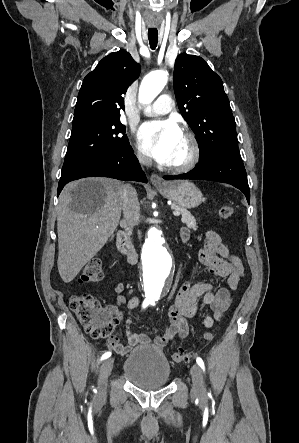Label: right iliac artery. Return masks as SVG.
<instances>
[{
    "instance_id": "1",
    "label": "right iliac artery",
    "mask_w": 299,
    "mask_h": 443,
    "mask_svg": "<svg viewBox=\"0 0 299 443\" xmlns=\"http://www.w3.org/2000/svg\"><path fill=\"white\" fill-rule=\"evenodd\" d=\"M149 304H150V301L144 300L143 304H142V308L145 309ZM110 356H111V352H109V351L105 352L101 357V361L109 358Z\"/></svg>"
}]
</instances>
